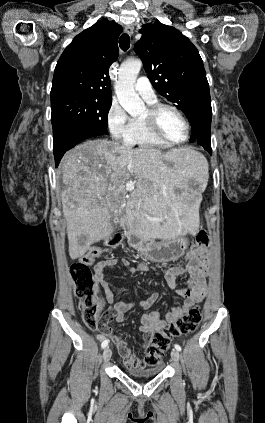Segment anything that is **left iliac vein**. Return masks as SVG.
<instances>
[{
	"mask_svg": "<svg viewBox=\"0 0 265 423\" xmlns=\"http://www.w3.org/2000/svg\"><path fill=\"white\" fill-rule=\"evenodd\" d=\"M171 358H172V361L175 362V363H177L179 361L180 354H179L178 350H175V349L172 350V352H171Z\"/></svg>",
	"mask_w": 265,
	"mask_h": 423,
	"instance_id": "4c4485c4",
	"label": "left iliac vein"
}]
</instances>
